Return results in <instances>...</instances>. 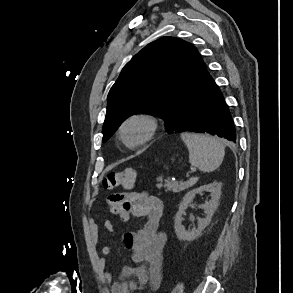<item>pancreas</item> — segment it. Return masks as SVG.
<instances>
[{
	"mask_svg": "<svg viewBox=\"0 0 293 293\" xmlns=\"http://www.w3.org/2000/svg\"><path fill=\"white\" fill-rule=\"evenodd\" d=\"M158 187H162V180H159ZM194 185V181L178 183V182H170L169 180H165L164 187L165 191H172L173 193H180Z\"/></svg>",
	"mask_w": 293,
	"mask_h": 293,
	"instance_id": "pancreas-1",
	"label": "pancreas"
}]
</instances>
